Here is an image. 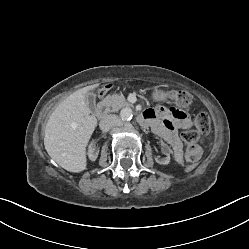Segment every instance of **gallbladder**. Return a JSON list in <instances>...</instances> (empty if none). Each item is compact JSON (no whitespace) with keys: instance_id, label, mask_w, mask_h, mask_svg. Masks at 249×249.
Returning a JSON list of instances; mask_svg holds the SVG:
<instances>
[{"instance_id":"1","label":"gallbladder","mask_w":249,"mask_h":249,"mask_svg":"<svg viewBox=\"0 0 249 249\" xmlns=\"http://www.w3.org/2000/svg\"><path fill=\"white\" fill-rule=\"evenodd\" d=\"M86 103H87V106L89 107V109L94 112L95 109H96V96L94 93L92 92H89L87 95H86Z\"/></svg>"}]
</instances>
